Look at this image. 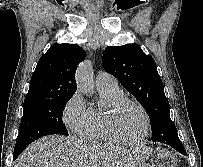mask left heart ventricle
<instances>
[{
  "label": "left heart ventricle",
  "instance_id": "1",
  "mask_svg": "<svg viewBox=\"0 0 203 167\" xmlns=\"http://www.w3.org/2000/svg\"><path fill=\"white\" fill-rule=\"evenodd\" d=\"M144 118L141 111L132 104H124L115 117V130L127 140L137 139L143 132Z\"/></svg>",
  "mask_w": 203,
  "mask_h": 167
}]
</instances>
